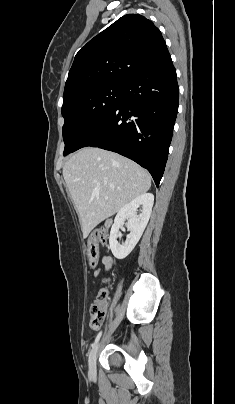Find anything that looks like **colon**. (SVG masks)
Masks as SVG:
<instances>
[{
    "instance_id": "5ec220e1",
    "label": "colon",
    "mask_w": 235,
    "mask_h": 404,
    "mask_svg": "<svg viewBox=\"0 0 235 404\" xmlns=\"http://www.w3.org/2000/svg\"><path fill=\"white\" fill-rule=\"evenodd\" d=\"M108 244V234L105 230L93 231L87 240V257L90 266L95 267L99 261V245ZM108 292L101 290L97 300L90 308V327L99 329L104 321L107 309Z\"/></svg>"
}]
</instances>
